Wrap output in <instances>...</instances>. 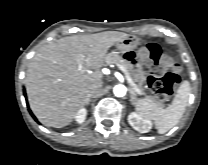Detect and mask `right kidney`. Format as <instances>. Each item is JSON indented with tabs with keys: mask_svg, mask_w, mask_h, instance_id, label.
Masks as SVG:
<instances>
[{
	"mask_svg": "<svg viewBox=\"0 0 208 165\" xmlns=\"http://www.w3.org/2000/svg\"><path fill=\"white\" fill-rule=\"evenodd\" d=\"M86 115H87V110L82 108L76 113L75 120L77 121V123L81 124L85 121Z\"/></svg>",
	"mask_w": 208,
	"mask_h": 165,
	"instance_id": "right-kidney-1",
	"label": "right kidney"
}]
</instances>
